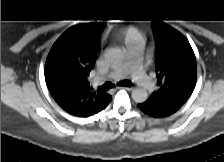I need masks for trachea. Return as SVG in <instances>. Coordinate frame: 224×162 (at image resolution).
<instances>
[{
  "mask_svg": "<svg viewBox=\"0 0 224 162\" xmlns=\"http://www.w3.org/2000/svg\"><path fill=\"white\" fill-rule=\"evenodd\" d=\"M119 86H131V82L128 81V80H124V81H121L118 83ZM115 85L111 82H106L105 84H103V86L101 87L102 89L104 90H108V89H111L113 88Z\"/></svg>",
  "mask_w": 224,
  "mask_h": 162,
  "instance_id": "3493384b",
  "label": "trachea"
}]
</instances>
